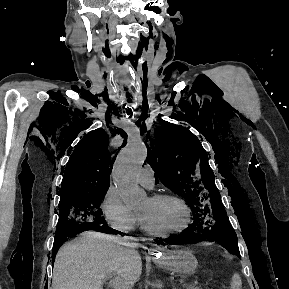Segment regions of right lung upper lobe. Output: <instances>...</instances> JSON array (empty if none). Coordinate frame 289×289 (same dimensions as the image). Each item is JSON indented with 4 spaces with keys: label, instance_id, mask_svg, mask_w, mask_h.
<instances>
[{
    "label": "right lung upper lobe",
    "instance_id": "cb5924a9",
    "mask_svg": "<svg viewBox=\"0 0 289 289\" xmlns=\"http://www.w3.org/2000/svg\"><path fill=\"white\" fill-rule=\"evenodd\" d=\"M113 160L108 151V135L102 129L92 131L77 145L65 171L61 197L109 188Z\"/></svg>",
    "mask_w": 289,
    "mask_h": 289
}]
</instances>
